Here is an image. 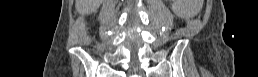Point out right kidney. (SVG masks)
I'll use <instances>...</instances> for the list:
<instances>
[{"label": "right kidney", "mask_w": 258, "mask_h": 77, "mask_svg": "<svg viewBox=\"0 0 258 77\" xmlns=\"http://www.w3.org/2000/svg\"><path fill=\"white\" fill-rule=\"evenodd\" d=\"M102 2V0H92V5L87 8L89 11H95L98 8V5Z\"/></svg>", "instance_id": "1"}]
</instances>
